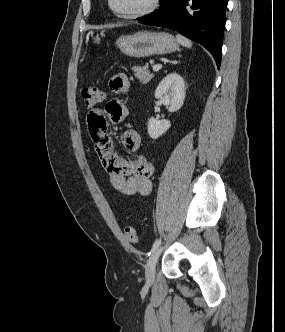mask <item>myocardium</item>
<instances>
[{"label": "myocardium", "instance_id": "f54148a6", "mask_svg": "<svg viewBox=\"0 0 285 332\" xmlns=\"http://www.w3.org/2000/svg\"><path fill=\"white\" fill-rule=\"evenodd\" d=\"M107 4L112 14L117 18L124 20H132L139 19L154 13L160 5V0H151L150 4L146 8L131 13H120L119 11H117L113 7L112 0H107Z\"/></svg>", "mask_w": 285, "mask_h": 332}]
</instances>
